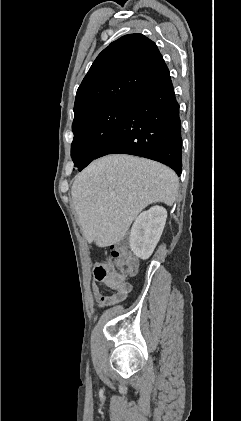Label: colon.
Returning <instances> with one entry per match:
<instances>
[{
  "instance_id": "5ec220e1",
  "label": "colon",
  "mask_w": 241,
  "mask_h": 421,
  "mask_svg": "<svg viewBox=\"0 0 241 421\" xmlns=\"http://www.w3.org/2000/svg\"><path fill=\"white\" fill-rule=\"evenodd\" d=\"M137 261L121 245L115 246L110 255L94 269L95 278L114 287H128L127 278L136 272Z\"/></svg>"
}]
</instances>
